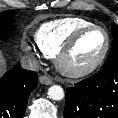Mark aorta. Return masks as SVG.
<instances>
[{
  "instance_id": "762f6f07",
  "label": "aorta",
  "mask_w": 118,
  "mask_h": 118,
  "mask_svg": "<svg viewBox=\"0 0 118 118\" xmlns=\"http://www.w3.org/2000/svg\"><path fill=\"white\" fill-rule=\"evenodd\" d=\"M48 96L55 101L62 100L64 98V90L59 85H53L48 89Z\"/></svg>"
}]
</instances>
